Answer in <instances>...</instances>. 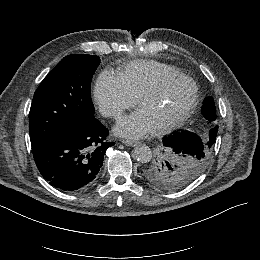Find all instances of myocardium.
I'll return each instance as SVG.
<instances>
[{
	"mask_svg": "<svg viewBox=\"0 0 260 260\" xmlns=\"http://www.w3.org/2000/svg\"><path fill=\"white\" fill-rule=\"evenodd\" d=\"M178 79H184V80L190 81L194 86V90H195L194 95H193L192 99L190 100L189 104L187 105V107L184 109V111L178 117H176L175 119H173L171 121H168V122L155 126L154 129L156 132L161 133V132L173 130V129L179 127L180 125H182L187 120V118L190 116V114L192 113L193 109L195 108V106L197 105V103L200 99V93H199L197 86L187 75H185L183 73H178L175 75L164 76V77L155 79L137 97V105H140L143 102V100H145L146 98L159 92L160 89L164 85H166L172 81L178 80Z\"/></svg>",
	"mask_w": 260,
	"mask_h": 260,
	"instance_id": "f54148a6",
	"label": "myocardium"
}]
</instances>
